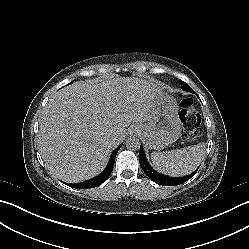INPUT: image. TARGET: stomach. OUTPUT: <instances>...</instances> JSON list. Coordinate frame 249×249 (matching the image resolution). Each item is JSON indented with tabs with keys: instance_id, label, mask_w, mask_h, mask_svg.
<instances>
[{
	"instance_id": "stomach-1",
	"label": "stomach",
	"mask_w": 249,
	"mask_h": 249,
	"mask_svg": "<svg viewBox=\"0 0 249 249\" xmlns=\"http://www.w3.org/2000/svg\"><path fill=\"white\" fill-rule=\"evenodd\" d=\"M150 122L143 126L142 138L149 149L161 150L172 144L180 133V122L176 115L175 99L158 91L152 98Z\"/></svg>"
}]
</instances>
